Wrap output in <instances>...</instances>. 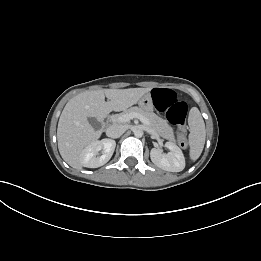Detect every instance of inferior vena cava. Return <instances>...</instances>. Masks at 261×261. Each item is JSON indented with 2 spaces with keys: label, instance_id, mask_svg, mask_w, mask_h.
Masks as SVG:
<instances>
[{
  "label": "inferior vena cava",
  "instance_id": "602c4592",
  "mask_svg": "<svg viewBox=\"0 0 261 261\" xmlns=\"http://www.w3.org/2000/svg\"><path fill=\"white\" fill-rule=\"evenodd\" d=\"M126 131V127L121 124H113L106 129V135L110 138H119Z\"/></svg>",
  "mask_w": 261,
  "mask_h": 261
}]
</instances>
